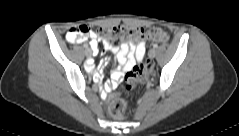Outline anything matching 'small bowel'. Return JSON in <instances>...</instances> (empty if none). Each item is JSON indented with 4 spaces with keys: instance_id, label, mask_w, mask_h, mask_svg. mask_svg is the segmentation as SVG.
I'll return each mask as SVG.
<instances>
[{
    "instance_id": "c3829d8e",
    "label": "small bowel",
    "mask_w": 239,
    "mask_h": 136,
    "mask_svg": "<svg viewBox=\"0 0 239 136\" xmlns=\"http://www.w3.org/2000/svg\"><path fill=\"white\" fill-rule=\"evenodd\" d=\"M68 34V33H67ZM91 39L90 45L93 46V51L98 53V41L100 37L97 36L95 32L89 34ZM67 40L70 42H80L82 39L77 41H71L68 36ZM103 47L107 51H111L115 55V60L121 65V71H115L111 79L105 83L104 90L106 93H111L118 85L121 73L131 69L137 61H139L145 53V43L139 41L134 42H123L120 45H113L109 43L106 39L102 40ZM108 64V61L102 63L101 67H105Z\"/></svg>"
}]
</instances>
